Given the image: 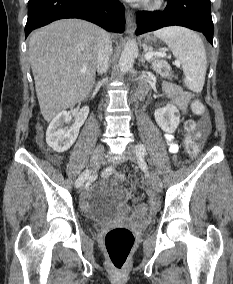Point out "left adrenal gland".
<instances>
[{"label": "left adrenal gland", "instance_id": "obj_1", "mask_svg": "<svg viewBox=\"0 0 233 284\" xmlns=\"http://www.w3.org/2000/svg\"><path fill=\"white\" fill-rule=\"evenodd\" d=\"M141 63L145 68H148V66L145 64V58L144 57H142Z\"/></svg>", "mask_w": 233, "mask_h": 284}]
</instances>
